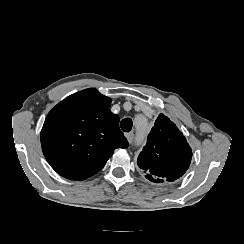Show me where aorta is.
<instances>
[{
	"instance_id": "762f6f07",
	"label": "aorta",
	"mask_w": 244,
	"mask_h": 244,
	"mask_svg": "<svg viewBox=\"0 0 244 244\" xmlns=\"http://www.w3.org/2000/svg\"><path fill=\"white\" fill-rule=\"evenodd\" d=\"M137 120H138V122H141L143 119L141 117H139ZM137 138H138V140H140L141 138H143V133L142 132H139Z\"/></svg>"
}]
</instances>
